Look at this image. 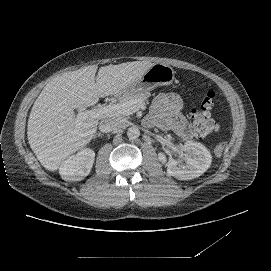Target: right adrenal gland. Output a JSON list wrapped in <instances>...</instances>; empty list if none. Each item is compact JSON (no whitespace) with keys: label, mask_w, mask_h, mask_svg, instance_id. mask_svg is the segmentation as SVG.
<instances>
[{"label":"right adrenal gland","mask_w":271,"mask_h":271,"mask_svg":"<svg viewBox=\"0 0 271 271\" xmlns=\"http://www.w3.org/2000/svg\"><path fill=\"white\" fill-rule=\"evenodd\" d=\"M103 136H104V134L99 132V133H95L93 138L96 139L97 137H103Z\"/></svg>","instance_id":"2a0ac1e0"}]
</instances>
